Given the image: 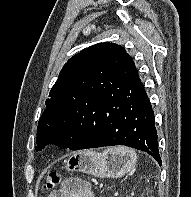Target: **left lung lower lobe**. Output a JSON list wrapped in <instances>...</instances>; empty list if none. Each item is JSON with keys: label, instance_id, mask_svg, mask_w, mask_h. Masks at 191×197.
Returning <instances> with one entry per match:
<instances>
[{"label": "left lung lower lobe", "instance_id": "1", "mask_svg": "<svg viewBox=\"0 0 191 197\" xmlns=\"http://www.w3.org/2000/svg\"><path fill=\"white\" fill-rule=\"evenodd\" d=\"M65 134L71 150L125 145L144 151L161 165L154 113L138 73L100 95L91 113L75 117Z\"/></svg>", "mask_w": 191, "mask_h": 197}]
</instances>
